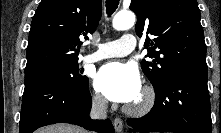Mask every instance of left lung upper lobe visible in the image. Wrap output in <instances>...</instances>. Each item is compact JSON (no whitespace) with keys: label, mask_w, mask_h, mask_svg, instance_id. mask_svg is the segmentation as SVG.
<instances>
[{"label":"left lung upper lobe","mask_w":221,"mask_h":133,"mask_svg":"<svg viewBox=\"0 0 221 133\" xmlns=\"http://www.w3.org/2000/svg\"><path fill=\"white\" fill-rule=\"evenodd\" d=\"M130 9L137 15L135 31L144 33V46L152 62L141 67L154 89L178 72L207 74L206 45L196 0H132Z\"/></svg>","instance_id":"obj_1"}]
</instances>
